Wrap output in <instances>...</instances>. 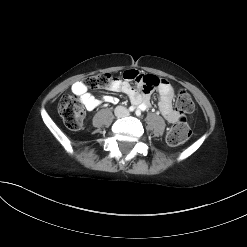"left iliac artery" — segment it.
<instances>
[{
	"mask_svg": "<svg viewBox=\"0 0 247 247\" xmlns=\"http://www.w3.org/2000/svg\"><path fill=\"white\" fill-rule=\"evenodd\" d=\"M136 115H137V116H140V115H141V111H140V110H137V111H136Z\"/></svg>",
	"mask_w": 247,
	"mask_h": 247,
	"instance_id": "1",
	"label": "left iliac artery"
}]
</instances>
